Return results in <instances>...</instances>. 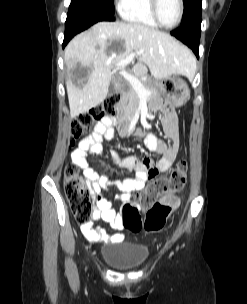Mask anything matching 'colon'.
<instances>
[{"label": "colon", "mask_w": 247, "mask_h": 304, "mask_svg": "<svg viewBox=\"0 0 247 304\" xmlns=\"http://www.w3.org/2000/svg\"><path fill=\"white\" fill-rule=\"evenodd\" d=\"M119 100V94L112 93L102 103L77 116L71 124V145L76 140L87 139L89 132L96 128L103 119L113 116ZM187 170V162L182 159L169 175L154 177L149 187L144 192L137 194L136 203H125L122 210L125 227L133 232L139 231L142 226L148 232L162 229L168 217L179 204L178 198L172 193L180 190L185 184ZM64 186L76 221L81 225L88 224L93 213L89 185L75 166L69 165L65 168ZM138 204L147 207L143 224Z\"/></svg>", "instance_id": "5ec220e1"}]
</instances>
